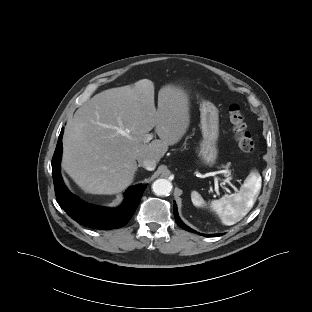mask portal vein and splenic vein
<instances>
[{
  "label": "portal vein and splenic vein",
  "mask_w": 312,
  "mask_h": 312,
  "mask_svg": "<svg viewBox=\"0 0 312 312\" xmlns=\"http://www.w3.org/2000/svg\"><path fill=\"white\" fill-rule=\"evenodd\" d=\"M119 133L122 134V135H124V136H126V137H128V138H131V136L129 135V133L126 132V131H124V130H120ZM151 139H153V134H146L145 137H144L145 142H149ZM215 180L218 181V180H220V179L216 177ZM225 182H226V181L223 180V181L220 183L222 187L225 186ZM224 188H225V187H224ZM225 189H226V188H225Z\"/></svg>",
  "instance_id": "portal-vein-and-splenic-vein-1"
}]
</instances>
